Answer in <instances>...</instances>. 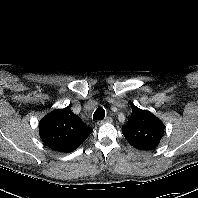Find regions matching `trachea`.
I'll use <instances>...</instances> for the list:
<instances>
[{"mask_svg": "<svg viewBox=\"0 0 198 198\" xmlns=\"http://www.w3.org/2000/svg\"><path fill=\"white\" fill-rule=\"evenodd\" d=\"M105 117V110L102 107L96 109L93 114V120H103Z\"/></svg>", "mask_w": 198, "mask_h": 198, "instance_id": "3493384b", "label": "trachea"}]
</instances>
